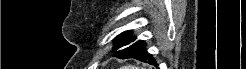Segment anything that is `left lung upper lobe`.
Listing matches in <instances>:
<instances>
[{
    "mask_svg": "<svg viewBox=\"0 0 246 69\" xmlns=\"http://www.w3.org/2000/svg\"><path fill=\"white\" fill-rule=\"evenodd\" d=\"M136 39L135 36H132L131 31H126L121 33L120 35H118L114 41H115V45H114V50H118L119 48L125 47L130 45L132 42H134Z\"/></svg>",
    "mask_w": 246,
    "mask_h": 69,
    "instance_id": "left-lung-upper-lobe-1",
    "label": "left lung upper lobe"
}]
</instances>
